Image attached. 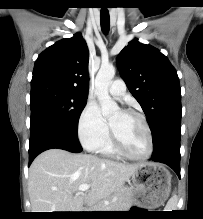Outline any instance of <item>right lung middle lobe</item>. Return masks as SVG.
I'll return each mask as SVG.
<instances>
[{
    "mask_svg": "<svg viewBox=\"0 0 203 219\" xmlns=\"http://www.w3.org/2000/svg\"><path fill=\"white\" fill-rule=\"evenodd\" d=\"M87 97L57 85H33L30 95L31 125L41 123L77 137L78 120Z\"/></svg>",
    "mask_w": 203,
    "mask_h": 219,
    "instance_id": "1",
    "label": "right lung middle lobe"
}]
</instances>
